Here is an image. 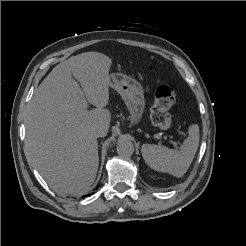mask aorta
Here are the masks:
<instances>
[{
    "label": "aorta",
    "mask_w": 246,
    "mask_h": 246,
    "mask_svg": "<svg viewBox=\"0 0 246 246\" xmlns=\"http://www.w3.org/2000/svg\"><path fill=\"white\" fill-rule=\"evenodd\" d=\"M134 152L133 143L125 136H122L118 140L117 153L121 157H130Z\"/></svg>",
    "instance_id": "1"
}]
</instances>
